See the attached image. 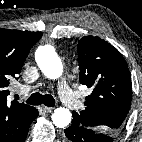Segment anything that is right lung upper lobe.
Returning <instances> with one entry per match:
<instances>
[{"instance_id": "right-lung-upper-lobe-1", "label": "right lung upper lobe", "mask_w": 142, "mask_h": 142, "mask_svg": "<svg viewBox=\"0 0 142 142\" xmlns=\"http://www.w3.org/2000/svg\"><path fill=\"white\" fill-rule=\"evenodd\" d=\"M41 32L0 29V142H17L30 126L36 108L14 100L7 102L8 86L18 75Z\"/></svg>"}]
</instances>
